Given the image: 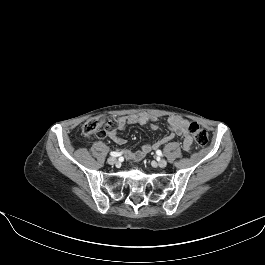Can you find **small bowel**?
I'll return each instance as SVG.
<instances>
[{
	"mask_svg": "<svg viewBox=\"0 0 265 265\" xmlns=\"http://www.w3.org/2000/svg\"><path fill=\"white\" fill-rule=\"evenodd\" d=\"M159 117L150 113H132L127 115L119 116L113 122V126L107 131V136L116 144L123 145L125 144V139L120 137L118 133L123 131L130 125H138L142 127H149L152 130H157L158 126L156 122ZM187 120L179 115H172L167 119V125L171 131V133L163 138L155 141V142H146L142 145V147L137 151L132 150H124L123 155L127 159L131 160H141L143 159L149 152L155 150L170 142L174 136H179L183 141V147L185 150L190 151L193 149V138L186 126Z\"/></svg>",
	"mask_w": 265,
	"mask_h": 265,
	"instance_id": "small-bowel-1",
	"label": "small bowel"
}]
</instances>
